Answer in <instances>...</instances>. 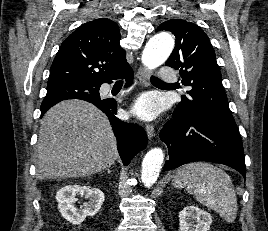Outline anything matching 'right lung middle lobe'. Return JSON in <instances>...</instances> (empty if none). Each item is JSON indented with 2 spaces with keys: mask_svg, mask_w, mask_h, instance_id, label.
Instances as JSON below:
<instances>
[{
  "mask_svg": "<svg viewBox=\"0 0 268 231\" xmlns=\"http://www.w3.org/2000/svg\"><path fill=\"white\" fill-rule=\"evenodd\" d=\"M99 88L91 84L76 81H64L47 85L46 101L60 102L65 99H88L99 97Z\"/></svg>",
  "mask_w": 268,
  "mask_h": 231,
  "instance_id": "right-lung-middle-lobe-1",
  "label": "right lung middle lobe"
}]
</instances>
